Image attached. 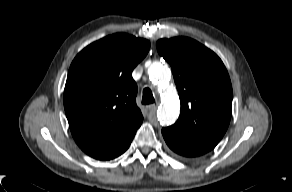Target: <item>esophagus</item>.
I'll list each match as a JSON object with an SVG mask.
<instances>
[{
	"label": "esophagus",
	"mask_w": 292,
	"mask_h": 192,
	"mask_svg": "<svg viewBox=\"0 0 292 192\" xmlns=\"http://www.w3.org/2000/svg\"><path fill=\"white\" fill-rule=\"evenodd\" d=\"M157 106H158V103L150 104L147 106V109L149 111H154V110H156Z\"/></svg>",
	"instance_id": "obj_1"
}]
</instances>
